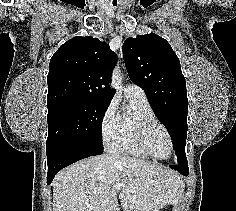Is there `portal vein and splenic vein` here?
I'll return each mask as SVG.
<instances>
[{
  "label": "portal vein and splenic vein",
  "mask_w": 236,
  "mask_h": 211,
  "mask_svg": "<svg viewBox=\"0 0 236 211\" xmlns=\"http://www.w3.org/2000/svg\"><path fill=\"white\" fill-rule=\"evenodd\" d=\"M123 187L122 184H115L112 188L115 189L116 191L121 190V188Z\"/></svg>",
  "instance_id": "obj_1"
}]
</instances>
